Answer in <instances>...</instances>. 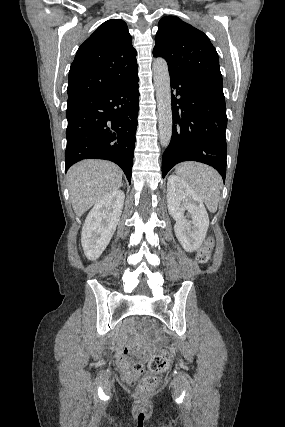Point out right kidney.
I'll use <instances>...</instances> for the list:
<instances>
[{
  "label": "right kidney",
  "mask_w": 285,
  "mask_h": 427,
  "mask_svg": "<svg viewBox=\"0 0 285 427\" xmlns=\"http://www.w3.org/2000/svg\"><path fill=\"white\" fill-rule=\"evenodd\" d=\"M125 194L117 190L100 199L89 212L81 233L86 257L96 260L109 244L120 219Z\"/></svg>",
  "instance_id": "1"
}]
</instances>
